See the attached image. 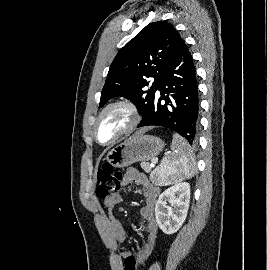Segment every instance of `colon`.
<instances>
[{
  "label": "colon",
  "mask_w": 267,
  "mask_h": 270,
  "mask_svg": "<svg viewBox=\"0 0 267 270\" xmlns=\"http://www.w3.org/2000/svg\"><path fill=\"white\" fill-rule=\"evenodd\" d=\"M121 179L122 176L120 172L115 171L110 164L105 163L97 174V196L106 199L115 194L120 189ZM124 270H138L137 260L134 255L129 254L125 258Z\"/></svg>",
  "instance_id": "1"
}]
</instances>
